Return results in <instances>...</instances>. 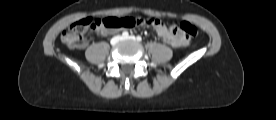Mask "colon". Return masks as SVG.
I'll return each instance as SVG.
<instances>
[{
	"label": "colon",
	"instance_id": "1",
	"mask_svg": "<svg viewBox=\"0 0 276 120\" xmlns=\"http://www.w3.org/2000/svg\"><path fill=\"white\" fill-rule=\"evenodd\" d=\"M157 18H141V17H106V18H85L72 24L61 35L64 44L70 47L78 46V42L82 35L88 30L108 29L115 30L120 28H132L142 25L154 26L158 23ZM170 33L173 35L181 34L188 39L197 36V28L190 22H175L169 27Z\"/></svg>",
	"mask_w": 276,
	"mask_h": 120
}]
</instances>
